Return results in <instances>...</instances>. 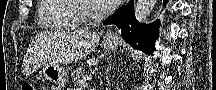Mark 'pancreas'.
I'll list each match as a JSON object with an SVG mask.
<instances>
[{
	"label": "pancreas",
	"mask_w": 216,
	"mask_h": 90,
	"mask_svg": "<svg viewBox=\"0 0 216 90\" xmlns=\"http://www.w3.org/2000/svg\"><path fill=\"white\" fill-rule=\"evenodd\" d=\"M84 76H86V70L84 68H77V70H73L72 72V82L78 84L79 80H82Z\"/></svg>",
	"instance_id": "1"
}]
</instances>
